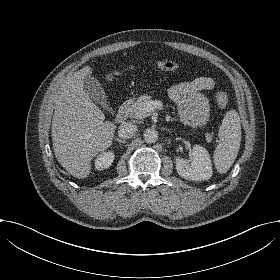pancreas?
<instances>
[{"label":"pancreas","mask_w":280,"mask_h":280,"mask_svg":"<svg viewBox=\"0 0 280 280\" xmlns=\"http://www.w3.org/2000/svg\"><path fill=\"white\" fill-rule=\"evenodd\" d=\"M151 101V96L148 95H141L135 102L132 104L126 105V108L129 112V117L134 119H142L147 117L148 114L144 113V108L146 103ZM206 141L211 142L213 137L210 133H205Z\"/></svg>","instance_id":"pancreas-1"}]
</instances>
